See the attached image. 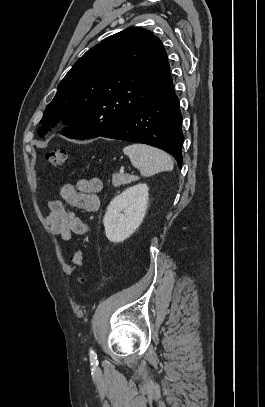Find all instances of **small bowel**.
Masks as SVG:
<instances>
[{
  "label": "small bowel",
  "instance_id": "obj_1",
  "mask_svg": "<svg viewBox=\"0 0 265 407\" xmlns=\"http://www.w3.org/2000/svg\"><path fill=\"white\" fill-rule=\"evenodd\" d=\"M102 182L97 177L80 179L75 183H66L60 189V198L48 203L50 210L45 219L49 231L69 242L73 235H86L89 225L81 219L74 209L95 212L99 208L98 194Z\"/></svg>",
  "mask_w": 265,
  "mask_h": 407
}]
</instances>
